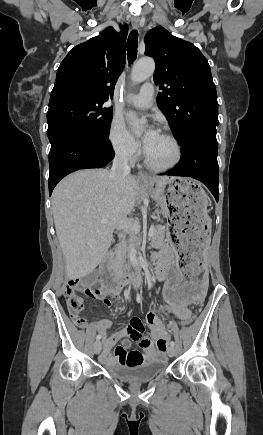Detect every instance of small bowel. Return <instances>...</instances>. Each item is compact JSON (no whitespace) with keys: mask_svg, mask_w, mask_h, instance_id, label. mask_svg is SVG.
Wrapping results in <instances>:
<instances>
[{"mask_svg":"<svg viewBox=\"0 0 263 435\" xmlns=\"http://www.w3.org/2000/svg\"><path fill=\"white\" fill-rule=\"evenodd\" d=\"M156 242H158V240H156ZM173 256L174 251L168 246L162 247L158 253L151 256V264L155 268V278L157 280L164 281V279H169L161 277V264L163 261H172ZM103 301L107 306L111 305L109 298H105ZM164 310L173 313L181 321L187 322L191 317L187 305H168ZM145 324L150 328L154 341H157L156 343L153 339L144 335ZM145 324L140 318L134 316L126 327L109 335L108 329L111 323L106 319L98 321L95 328L97 333L101 335L103 343V351L100 356L101 362L104 364L135 365L148 360L164 358V355H166L167 350L170 348V343L168 342L171 338L170 332L165 330L166 326L158 318L155 310L147 312ZM84 326L85 321H83L82 327ZM130 339L138 343L143 353L138 350L130 349ZM119 342L120 345L116 346ZM114 347V353H112Z\"/></svg>","mask_w":263,"mask_h":435,"instance_id":"small-bowel-1","label":"small bowel"}]
</instances>
